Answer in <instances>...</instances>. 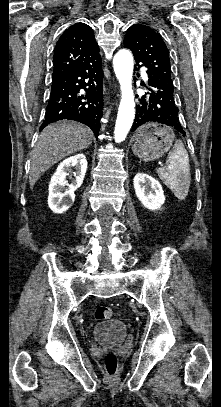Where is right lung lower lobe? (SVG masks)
<instances>
[{
  "mask_svg": "<svg viewBox=\"0 0 221 407\" xmlns=\"http://www.w3.org/2000/svg\"><path fill=\"white\" fill-rule=\"evenodd\" d=\"M102 60H91L52 79L50 100L40 130L48 124L68 119L91 128L98 139L103 107Z\"/></svg>",
  "mask_w": 221,
  "mask_h": 407,
  "instance_id": "1",
  "label": "right lung lower lobe"
}]
</instances>
